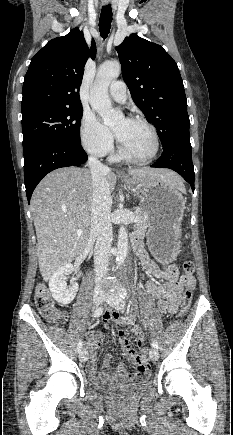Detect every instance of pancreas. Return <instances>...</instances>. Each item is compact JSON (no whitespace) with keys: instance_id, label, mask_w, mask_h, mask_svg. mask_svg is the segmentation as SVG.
Returning <instances> with one entry per match:
<instances>
[{"instance_id":"obj_1","label":"pancreas","mask_w":233,"mask_h":435,"mask_svg":"<svg viewBox=\"0 0 233 435\" xmlns=\"http://www.w3.org/2000/svg\"><path fill=\"white\" fill-rule=\"evenodd\" d=\"M135 216L139 219L137 222H135L134 232L138 237L142 238L145 235L146 229L148 227L147 220L141 208H137L135 210Z\"/></svg>"}]
</instances>
